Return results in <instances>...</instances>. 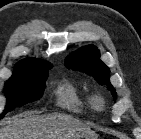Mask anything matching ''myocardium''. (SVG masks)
<instances>
[{"instance_id":"obj_1","label":"myocardium","mask_w":141,"mask_h":139,"mask_svg":"<svg viewBox=\"0 0 141 139\" xmlns=\"http://www.w3.org/2000/svg\"><path fill=\"white\" fill-rule=\"evenodd\" d=\"M103 101L101 98H96V106L100 107L102 105Z\"/></svg>"}]
</instances>
